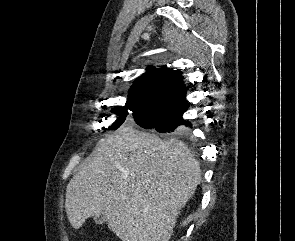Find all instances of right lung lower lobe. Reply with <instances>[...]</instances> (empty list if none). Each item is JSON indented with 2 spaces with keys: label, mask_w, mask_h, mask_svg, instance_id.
Instances as JSON below:
<instances>
[{
  "label": "right lung lower lobe",
  "mask_w": 295,
  "mask_h": 241,
  "mask_svg": "<svg viewBox=\"0 0 295 241\" xmlns=\"http://www.w3.org/2000/svg\"><path fill=\"white\" fill-rule=\"evenodd\" d=\"M188 107L189 106L176 113H173L170 116H167L163 120L156 121L155 123L146 127V129H155L160 133L181 135L182 133L180 131L182 126H190V123L186 120H183L182 118L183 113L188 109Z\"/></svg>",
  "instance_id": "right-lung-lower-lobe-1"
}]
</instances>
